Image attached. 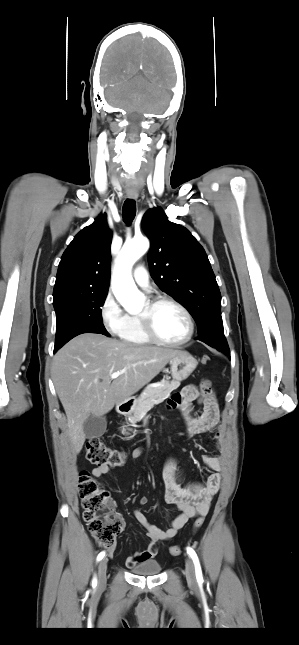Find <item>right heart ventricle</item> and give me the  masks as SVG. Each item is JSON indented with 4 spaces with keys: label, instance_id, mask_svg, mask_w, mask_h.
I'll return each mask as SVG.
<instances>
[{
    "label": "right heart ventricle",
    "instance_id": "obj_1",
    "mask_svg": "<svg viewBox=\"0 0 299 645\" xmlns=\"http://www.w3.org/2000/svg\"><path fill=\"white\" fill-rule=\"evenodd\" d=\"M120 337L123 341L134 345H147L152 343L144 333L138 315H128L127 324Z\"/></svg>",
    "mask_w": 299,
    "mask_h": 645
}]
</instances>
